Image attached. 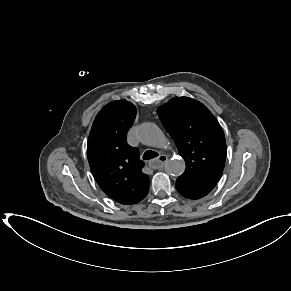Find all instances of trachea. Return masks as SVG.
<instances>
[{"label": "trachea", "mask_w": 291, "mask_h": 291, "mask_svg": "<svg viewBox=\"0 0 291 291\" xmlns=\"http://www.w3.org/2000/svg\"><path fill=\"white\" fill-rule=\"evenodd\" d=\"M157 156H158V153L151 151V150H148L143 154V159L148 160V159H152V158L157 157Z\"/></svg>", "instance_id": "trachea-1"}]
</instances>
